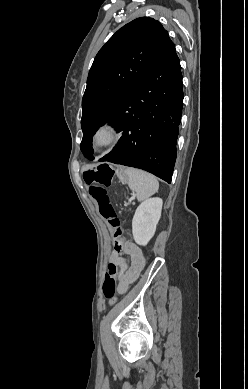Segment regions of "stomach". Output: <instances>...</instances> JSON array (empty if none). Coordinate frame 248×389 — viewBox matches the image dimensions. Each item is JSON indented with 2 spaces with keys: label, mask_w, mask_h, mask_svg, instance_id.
Instances as JSON below:
<instances>
[{
  "label": "stomach",
  "mask_w": 248,
  "mask_h": 389,
  "mask_svg": "<svg viewBox=\"0 0 248 389\" xmlns=\"http://www.w3.org/2000/svg\"><path fill=\"white\" fill-rule=\"evenodd\" d=\"M113 169L116 171V176H120L122 182H127V169H122L120 164H115Z\"/></svg>",
  "instance_id": "stomach-1"
}]
</instances>
